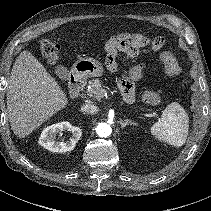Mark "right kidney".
<instances>
[{"label": "right kidney", "instance_id": "1", "mask_svg": "<svg viewBox=\"0 0 211 211\" xmlns=\"http://www.w3.org/2000/svg\"><path fill=\"white\" fill-rule=\"evenodd\" d=\"M63 130L71 131V138L68 141H57L56 134ZM81 135L82 130L79 127L72 126L69 122L56 123L42 131L39 144L52 152L62 153L73 150Z\"/></svg>", "mask_w": 211, "mask_h": 211}]
</instances>
